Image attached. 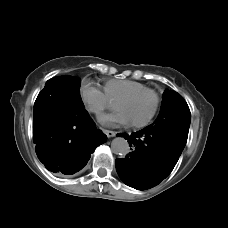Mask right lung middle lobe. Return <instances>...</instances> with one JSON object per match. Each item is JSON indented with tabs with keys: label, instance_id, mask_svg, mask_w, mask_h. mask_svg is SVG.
<instances>
[{
	"label": "right lung middle lobe",
	"instance_id": "dd1d6c3e",
	"mask_svg": "<svg viewBox=\"0 0 228 228\" xmlns=\"http://www.w3.org/2000/svg\"><path fill=\"white\" fill-rule=\"evenodd\" d=\"M80 84L81 80L79 78L64 75L48 80L45 88L51 89L54 87L55 98L58 101L69 105L82 106L83 102L80 97ZM40 99L41 97L38 98L37 101Z\"/></svg>",
	"mask_w": 228,
	"mask_h": 228
}]
</instances>
